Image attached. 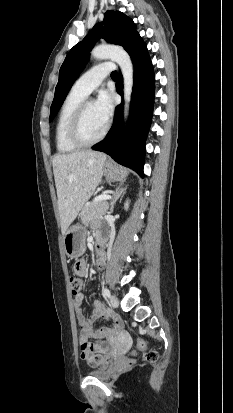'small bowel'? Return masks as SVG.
I'll return each mask as SVG.
<instances>
[{
	"mask_svg": "<svg viewBox=\"0 0 233 413\" xmlns=\"http://www.w3.org/2000/svg\"><path fill=\"white\" fill-rule=\"evenodd\" d=\"M86 273V263L82 260L76 261L72 274L83 276ZM83 301V293L74 294V310L81 329L79 335L80 357L89 366L101 368L108 365L120 349L121 320L117 314L99 300L93 301L91 315L86 318L82 310ZM99 318L108 320L110 325L95 329L94 324Z\"/></svg>",
	"mask_w": 233,
	"mask_h": 413,
	"instance_id": "c3829d8e",
	"label": "small bowel"
}]
</instances>
